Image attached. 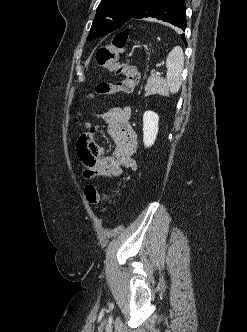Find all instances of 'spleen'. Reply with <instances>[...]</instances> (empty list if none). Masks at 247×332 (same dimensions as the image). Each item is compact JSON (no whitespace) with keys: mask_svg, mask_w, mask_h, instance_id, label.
<instances>
[{"mask_svg":"<svg viewBox=\"0 0 247 332\" xmlns=\"http://www.w3.org/2000/svg\"><path fill=\"white\" fill-rule=\"evenodd\" d=\"M184 67V54L180 46L174 47L166 58V81L159 88L158 93L168 95L177 93L182 83V71Z\"/></svg>","mask_w":247,"mask_h":332,"instance_id":"1","label":"spleen"}]
</instances>
